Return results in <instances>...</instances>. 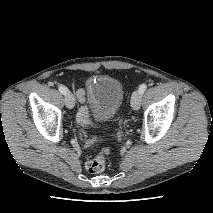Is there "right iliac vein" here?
<instances>
[{
	"label": "right iliac vein",
	"instance_id": "right-iliac-vein-1",
	"mask_svg": "<svg viewBox=\"0 0 213 213\" xmlns=\"http://www.w3.org/2000/svg\"><path fill=\"white\" fill-rule=\"evenodd\" d=\"M65 105L69 109H72L75 106V98L69 91L65 94Z\"/></svg>",
	"mask_w": 213,
	"mask_h": 213
}]
</instances>
